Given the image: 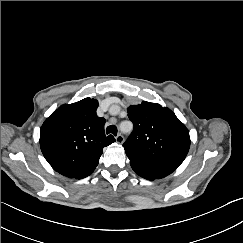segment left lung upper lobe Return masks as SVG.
Segmentation results:
<instances>
[{
    "label": "left lung upper lobe",
    "instance_id": "obj_1",
    "mask_svg": "<svg viewBox=\"0 0 243 243\" xmlns=\"http://www.w3.org/2000/svg\"><path fill=\"white\" fill-rule=\"evenodd\" d=\"M128 117L134 130L123 144L127 155L175 166L184 161L189 131L169 108L143 101L128 108Z\"/></svg>",
    "mask_w": 243,
    "mask_h": 243
}]
</instances>
